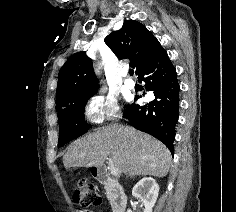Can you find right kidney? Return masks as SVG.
I'll list each match as a JSON object with an SVG mask.
<instances>
[{"label":"right kidney","mask_w":236,"mask_h":212,"mask_svg":"<svg viewBox=\"0 0 236 212\" xmlns=\"http://www.w3.org/2000/svg\"><path fill=\"white\" fill-rule=\"evenodd\" d=\"M159 194V185L152 177H144L132 189V195L144 205L143 212H152ZM127 212H132L130 209Z\"/></svg>","instance_id":"right-kidney-1"}]
</instances>
